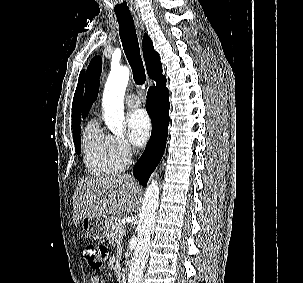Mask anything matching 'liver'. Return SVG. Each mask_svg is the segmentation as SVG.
<instances>
[{
    "label": "liver",
    "instance_id": "6515ba94",
    "mask_svg": "<svg viewBox=\"0 0 303 283\" xmlns=\"http://www.w3.org/2000/svg\"><path fill=\"white\" fill-rule=\"evenodd\" d=\"M139 192V185L128 174L81 180L73 198L74 223L78 225L84 217L131 213Z\"/></svg>",
    "mask_w": 303,
    "mask_h": 283
}]
</instances>
